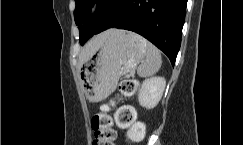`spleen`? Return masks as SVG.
Instances as JSON below:
<instances>
[{"instance_id":"obj_1","label":"spleen","mask_w":243,"mask_h":145,"mask_svg":"<svg viewBox=\"0 0 243 145\" xmlns=\"http://www.w3.org/2000/svg\"><path fill=\"white\" fill-rule=\"evenodd\" d=\"M145 48V59L142 61L137 69V73L140 77H149L157 73L162 65V59L160 51L151 43H148L145 39L140 40Z\"/></svg>"}]
</instances>
